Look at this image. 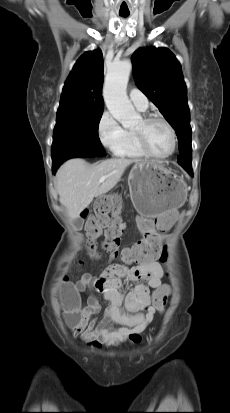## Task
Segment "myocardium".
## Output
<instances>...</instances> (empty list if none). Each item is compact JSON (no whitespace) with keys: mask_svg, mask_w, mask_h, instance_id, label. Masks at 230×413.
Returning <instances> with one entry per match:
<instances>
[{"mask_svg":"<svg viewBox=\"0 0 230 413\" xmlns=\"http://www.w3.org/2000/svg\"><path fill=\"white\" fill-rule=\"evenodd\" d=\"M142 121H143V123H144L145 125L151 123L152 121H161V122H163V123L167 126V128L169 129V131H170L171 138H172V146H171V149H170V151H169L168 153L163 154V155L157 154V153L153 152V151L149 148V146H148V144H147V142H146V140H145V137H144L143 132L140 131V130H134V134H135V136H136L137 142H138L141 150H142L147 156H150V157L156 158V159H166V158L171 157V156L175 153L176 148H177V133H176L175 128H174L173 125L171 124V122L168 121V120H167L166 118H164L163 116H160V115H158V114H150V115L144 117V118L142 119Z\"/></svg>","mask_w":230,"mask_h":413,"instance_id":"myocardium-1","label":"myocardium"}]
</instances>
